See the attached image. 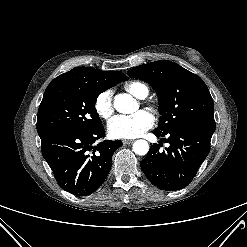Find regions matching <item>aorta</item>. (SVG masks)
Here are the masks:
<instances>
[{"instance_id":"aorta-1","label":"aorta","mask_w":247,"mask_h":247,"mask_svg":"<svg viewBox=\"0 0 247 247\" xmlns=\"http://www.w3.org/2000/svg\"><path fill=\"white\" fill-rule=\"evenodd\" d=\"M114 108L123 114H130L137 110L138 105L129 94H118L114 98ZM133 151L138 155H145L149 151V144L146 140H137L133 144Z\"/></svg>"}]
</instances>
